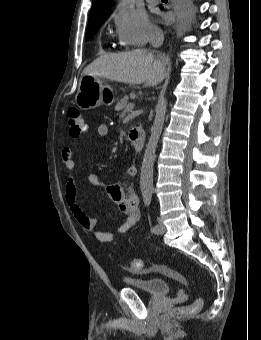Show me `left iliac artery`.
<instances>
[{"label": "left iliac artery", "mask_w": 261, "mask_h": 340, "mask_svg": "<svg viewBox=\"0 0 261 340\" xmlns=\"http://www.w3.org/2000/svg\"><path fill=\"white\" fill-rule=\"evenodd\" d=\"M151 199H152V193L151 192H148V193L144 194V202H145L146 206L150 205ZM158 229H159V226L157 224L153 226V231L154 232L158 231Z\"/></svg>", "instance_id": "1"}]
</instances>
